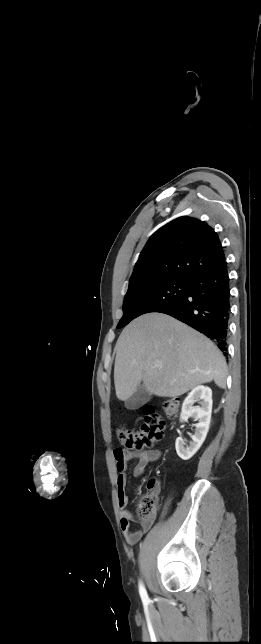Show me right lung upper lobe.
Returning a JSON list of instances; mask_svg holds the SVG:
<instances>
[{
    "mask_svg": "<svg viewBox=\"0 0 261 644\" xmlns=\"http://www.w3.org/2000/svg\"><path fill=\"white\" fill-rule=\"evenodd\" d=\"M225 260L217 233L205 222L179 217L157 230L135 264L129 288L168 278L191 279Z\"/></svg>",
    "mask_w": 261,
    "mask_h": 644,
    "instance_id": "right-lung-upper-lobe-1",
    "label": "right lung upper lobe"
}]
</instances>
